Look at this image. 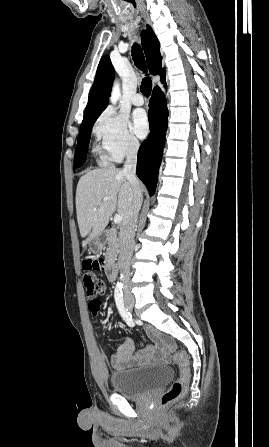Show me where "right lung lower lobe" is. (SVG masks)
Returning a JSON list of instances; mask_svg holds the SVG:
<instances>
[{
  "mask_svg": "<svg viewBox=\"0 0 269 447\" xmlns=\"http://www.w3.org/2000/svg\"><path fill=\"white\" fill-rule=\"evenodd\" d=\"M161 82H165V75L161 76ZM148 115L151 131L138 151L136 173L152 196L156 188L168 123L166 99L159 87L153 89Z\"/></svg>",
  "mask_w": 269,
  "mask_h": 447,
  "instance_id": "1",
  "label": "right lung lower lobe"
}]
</instances>
